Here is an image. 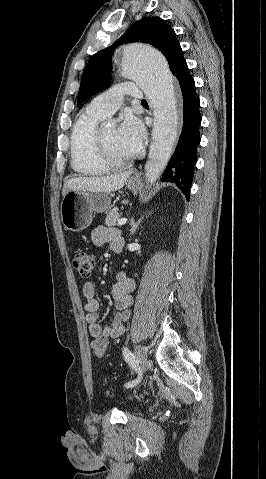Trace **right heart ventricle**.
<instances>
[{
	"mask_svg": "<svg viewBox=\"0 0 266 479\" xmlns=\"http://www.w3.org/2000/svg\"><path fill=\"white\" fill-rule=\"evenodd\" d=\"M104 117L86 109L77 119L70 140L71 165L83 176H99L109 169L99 160L96 146L97 126Z\"/></svg>",
	"mask_w": 266,
	"mask_h": 479,
	"instance_id": "obj_1",
	"label": "right heart ventricle"
}]
</instances>
